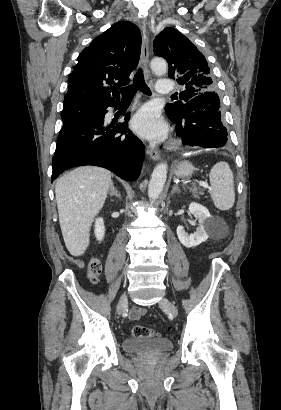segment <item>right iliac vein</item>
<instances>
[{"label":"right iliac vein","instance_id":"right-iliac-vein-1","mask_svg":"<svg viewBox=\"0 0 281 410\" xmlns=\"http://www.w3.org/2000/svg\"><path fill=\"white\" fill-rule=\"evenodd\" d=\"M127 303H128L127 296L123 294L119 300L118 307H117V312L119 315H121L124 312L127 306Z\"/></svg>","mask_w":281,"mask_h":410}]
</instances>
